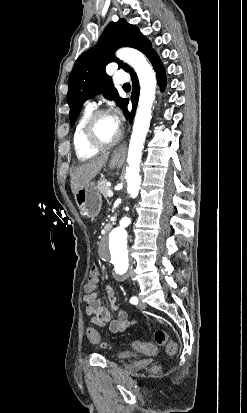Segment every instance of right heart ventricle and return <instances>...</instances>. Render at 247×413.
Segmentation results:
<instances>
[{"label":"right heart ventricle","instance_id":"obj_1","mask_svg":"<svg viewBox=\"0 0 247 413\" xmlns=\"http://www.w3.org/2000/svg\"><path fill=\"white\" fill-rule=\"evenodd\" d=\"M89 113H85L79 120L74 132V147L77 158L80 161H87L96 157L100 150L88 147L83 139V131L89 119Z\"/></svg>","mask_w":247,"mask_h":413}]
</instances>
